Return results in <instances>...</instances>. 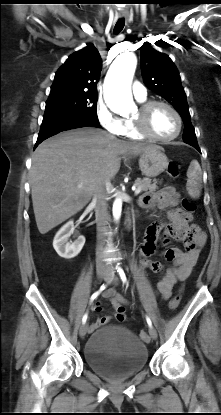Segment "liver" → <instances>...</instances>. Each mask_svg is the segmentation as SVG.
Returning a JSON list of instances; mask_svg holds the SVG:
<instances>
[{
	"label": "liver",
	"mask_w": 221,
	"mask_h": 415,
	"mask_svg": "<svg viewBox=\"0 0 221 415\" xmlns=\"http://www.w3.org/2000/svg\"><path fill=\"white\" fill-rule=\"evenodd\" d=\"M152 147L122 141L92 127L66 131L42 142L33 153L30 169L39 232L46 234L82 210L97 186L115 177L121 155L137 156Z\"/></svg>",
	"instance_id": "liver-1"
}]
</instances>
